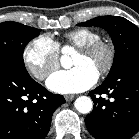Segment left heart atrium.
I'll return each mask as SVG.
<instances>
[{"label":"left heart atrium","instance_id":"obj_1","mask_svg":"<svg viewBox=\"0 0 139 139\" xmlns=\"http://www.w3.org/2000/svg\"><path fill=\"white\" fill-rule=\"evenodd\" d=\"M98 79V73L87 66H75L69 70H60L50 75L47 87L56 93H77L92 87Z\"/></svg>","mask_w":139,"mask_h":139}]
</instances>
